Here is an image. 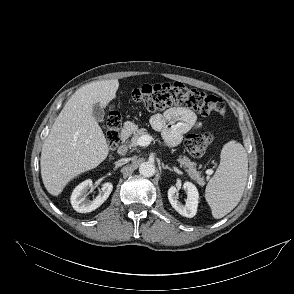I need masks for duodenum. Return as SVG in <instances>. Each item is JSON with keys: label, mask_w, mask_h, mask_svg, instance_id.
<instances>
[{"label": "duodenum", "mask_w": 294, "mask_h": 294, "mask_svg": "<svg viewBox=\"0 0 294 294\" xmlns=\"http://www.w3.org/2000/svg\"><path fill=\"white\" fill-rule=\"evenodd\" d=\"M134 130V125L132 122L127 121L124 123L120 132V143L118 145V153L120 155H126L128 152L126 141L131 136Z\"/></svg>", "instance_id": "410a0bca"}]
</instances>
